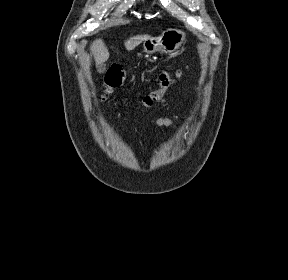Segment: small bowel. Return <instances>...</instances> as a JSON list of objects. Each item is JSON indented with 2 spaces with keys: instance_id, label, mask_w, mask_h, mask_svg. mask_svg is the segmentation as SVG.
Instances as JSON below:
<instances>
[{
  "instance_id": "1",
  "label": "small bowel",
  "mask_w": 288,
  "mask_h": 280,
  "mask_svg": "<svg viewBox=\"0 0 288 280\" xmlns=\"http://www.w3.org/2000/svg\"><path fill=\"white\" fill-rule=\"evenodd\" d=\"M155 124L160 127L176 128L175 123L171 119L166 117H160L156 119Z\"/></svg>"
}]
</instances>
